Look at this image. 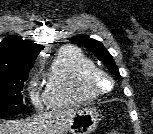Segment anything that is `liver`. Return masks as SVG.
Here are the masks:
<instances>
[{
	"mask_svg": "<svg viewBox=\"0 0 153 134\" xmlns=\"http://www.w3.org/2000/svg\"><path fill=\"white\" fill-rule=\"evenodd\" d=\"M75 112L76 109L69 108L39 115L28 122H0V134H42L44 132L65 134Z\"/></svg>",
	"mask_w": 153,
	"mask_h": 134,
	"instance_id": "liver-1",
	"label": "liver"
}]
</instances>
